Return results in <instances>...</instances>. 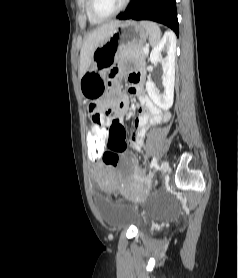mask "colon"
I'll list each match as a JSON object with an SVG mask.
<instances>
[{
  "mask_svg": "<svg viewBox=\"0 0 238 278\" xmlns=\"http://www.w3.org/2000/svg\"><path fill=\"white\" fill-rule=\"evenodd\" d=\"M111 127H118L113 120ZM91 129H98V124H91ZM88 135H96L95 137H86L85 141L89 142L88 159L90 162H97L101 159L107 166H116L119 160V155L126 149L124 143L125 137H109L106 138L104 132L100 130H88Z\"/></svg>",
  "mask_w": 238,
  "mask_h": 278,
  "instance_id": "obj_1",
  "label": "colon"
}]
</instances>
